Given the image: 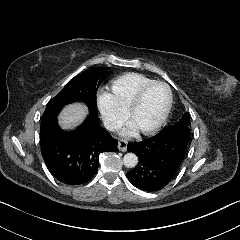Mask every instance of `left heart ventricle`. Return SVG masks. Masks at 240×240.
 <instances>
[{"mask_svg": "<svg viewBox=\"0 0 240 240\" xmlns=\"http://www.w3.org/2000/svg\"><path fill=\"white\" fill-rule=\"evenodd\" d=\"M167 98V91L161 85L152 86L144 96L141 106L134 113L131 122L138 130L153 125L160 117Z\"/></svg>", "mask_w": 240, "mask_h": 240, "instance_id": "left-heart-ventricle-1", "label": "left heart ventricle"}]
</instances>
